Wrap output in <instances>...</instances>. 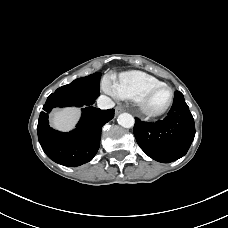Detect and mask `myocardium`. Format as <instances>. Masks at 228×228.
Returning <instances> with one entry per match:
<instances>
[{
    "mask_svg": "<svg viewBox=\"0 0 228 228\" xmlns=\"http://www.w3.org/2000/svg\"><path fill=\"white\" fill-rule=\"evenodd\" d=\"M160 88H166L168 90V92H169L168 101L162 108H160L158 110H151L148 107L149 97L151 96V94L153 92H155L156 90H158ZM173 101H174V91L169 85H167L165 83L156 84V85H153V86L147 88L142 93V95L139 97V99L137 100L141 113L150 118H155V117L164 115L171 108Z\"/></svg>",
    "mask_w": 228,
    "mask_h": 228,
    "instance_id": "f54148a6",
    "label": "myocardium"
}]
</instances>
